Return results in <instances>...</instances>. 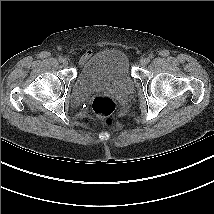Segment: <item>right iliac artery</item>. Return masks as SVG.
<instances>
[{
    "mask_svg": "<svg viewBox=\"0 0 214 214\" xmlns=\"http://www.w3.org/2000/svg\"><path fill=\"white\" fill-rule=\"evenodd\" d=\"M59 62H63L64 61V58L63 57H59Z\"/></svg>",
    "mask_w": 214,
    "mask_h": 214,
    "instance_id": "1",
    "label": "right iliac artery"
}]
</instances>
